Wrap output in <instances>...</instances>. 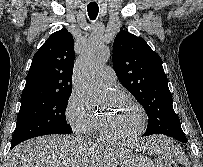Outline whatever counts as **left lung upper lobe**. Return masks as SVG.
<instances>
[{
    "instance_id": "5c2ea615",
    "label": "left lung upper lobe",
    "mask_w": 203,
    "mask_h": 167,
    "mask_svg": "<svg viewBox=\"0 0 203 167\" xmlns=\"http://www.w3.org/2000/svg\"><path fill=\"white\" fill-rule=\"evenodd\" d=\"M113 68L122 85L141 103L148 115L149 123L144 135L185 136L173 109L162 59L143 38L120 31L113 43Z\"/></svg>"
}]
</instances>
